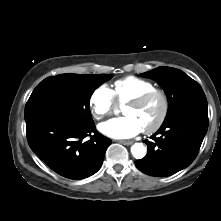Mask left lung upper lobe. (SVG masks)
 <instances>
[{
	"label": "left lung upper lobe",
	"mask_w": 221,
	"mask_h": 221,
	"mask_svg": "<svg viewBox=\"0 0 221 221\" xmlns=\"http://www.w3.org/2000/svg\"><path fill=\"white\" fill-rule=\"evenodd\" d=\"M141 76L156 80L166 92L169 107L165 120L189 106L207 104L201 86L181 70L162 66Z\"/></svg>",
	"instance_id": "1"
}]
</instances>
